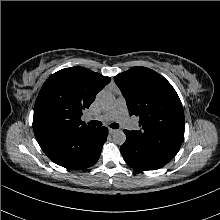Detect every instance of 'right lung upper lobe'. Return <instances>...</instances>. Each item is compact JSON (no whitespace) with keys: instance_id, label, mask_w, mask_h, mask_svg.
I'll return each instance as SVG.
<instances>
[{"instance_id":"1","label":"right lung upper lobe","mask_w":220,"mask_h":220,"mask_svg":"<svg viewBox=\"0 0 220 220\" xmlns=\"http://www.w3.org/2000/svg\"><path fill=\"white\" fill-rule=\"evenodd\" d=\"M110 80L83 67L52 74L43 84L34 107L33 129L40 147L65 150L71 140L96 129L81 121V115Z\"/></svg>"}]
</instances>
